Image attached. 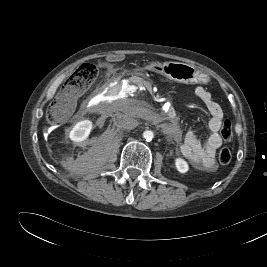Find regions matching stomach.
<instances>
[{"label": "stomach", "mask_w": 267, "mask_h": 267, "mask_svg": "<svg viewBox=\"0 0 267 267\" xmlns=\"http://www.w3.org/2000/svg\"><path fill=\"white\" fill-rule=\"evenodd\" d=\"M148 70L162 74L170 80L179 83H207L209 77L197 70L195 67L181 62L158 63L152 62L147 67Z\"/></svg>", "instance_id": "1"}]
</instances>
